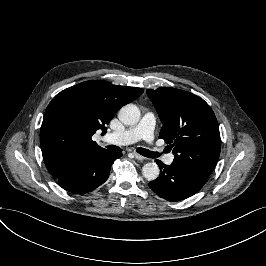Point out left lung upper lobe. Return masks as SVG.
<instances>
[{
    "instance_id": "5c2ea615",
    "label": "left lung upper lobe",
    "mask_w": 266,
    "mask_h": 266,
    "mask_svg": "<svg viewBox=\"0 0 266 266\" xmlns=\"http://www.w3.org/2000/svg\"><path fill=\"white\" fill-rule=\"evenodd\" d=\"M146 92L163 123L159 138L173 148V162L210 175L221 149L219 126L211 107L200 97L175 88Z\"/></svg>"
}]
</instances>
